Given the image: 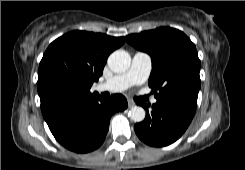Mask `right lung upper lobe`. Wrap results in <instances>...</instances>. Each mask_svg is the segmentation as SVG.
<instances>
[{
    "instance_id": "obj_1",
    "label": "right lung upper lobe",
    "mask_w": 245,
    "mask_h": 170,
    "mask_svg": "<svg viewBox=\"0 0 245 170\" xmlns=\"http://www.w3.org/2000/svg\"><path fill=\"white\" fill-rule=\"evenodd\" d=\"M124 42V37L72 31L49 45L39 65L37 85L47 124L98 95L90 88L102 75L109 54Z\"/></svg>"
}]
</instances>
